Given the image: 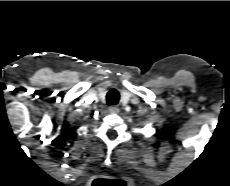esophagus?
<instances>
[{
	"label": "esophagus",
	"instance_id": "34e87169",
	"mask_svg": "<svg viewBox=\"0 0 230 186\" xmlns=\"http://www.w3.org/2000/svg\"><path fill=\"white\" fill-rule=\"evenodd\" d=\"M109 111L113 114H118L120 109L117 105H112L109 107Z\"/></svg>",
	"mask_w": 230,
	"mask_h": 186
}]
</instances>
